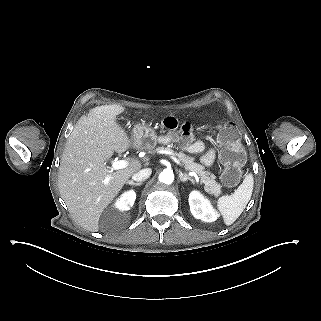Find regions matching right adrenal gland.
I'll return each instance as SVG.
<instances>
[{"mask_svg": "<svg viewBox=\"0 0 321 321\" xmlns=\"http://www.w3.org/2000/svg\"><path fill=\"white\" fill-rule=\"evenodd\" d=\"M125 184L131 185V186H141L143 183L139 182V183H135L132 180L130 181H126Z\"/></svg>", "mask_w": 321, "mask_h": 321, "instance_id": "2a0ac1e0", "label": "right adrenal gland"}]
</instances>
